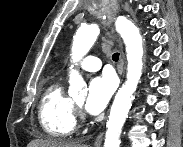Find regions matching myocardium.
Instances as JSON below:
<instances>
[{
  "label": "myocardium",
  "instance_id": "1",
  "mask_svg": "<svg viewBox=\"0 0 183 147\" xmlns=\"http://www.w3.org/2000/svg\"><path fill=\"white\" fill-rule=\"evenodd\" d=\"M77 107H78V108H80V107H81V105L77 103Z\"/></svg>",
  "mask_w": 183,
  "mask_h": 147
}]
</instances>
